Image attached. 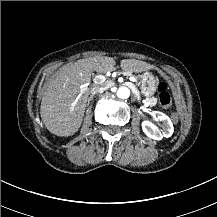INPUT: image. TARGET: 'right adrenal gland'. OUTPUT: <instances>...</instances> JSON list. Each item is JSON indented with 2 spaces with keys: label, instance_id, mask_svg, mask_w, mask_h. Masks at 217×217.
<instances>
[{
  "label": "right adrenal gland",
  "instance_id": "1",
  "mask_svg": "<svg viewBox=\"0 0 217 217\" xmlns=\"http://www.w3.org/2000/svg\"><path fill=\"white\" fill-rule=\"evenodd\" d=\"M93 100H94V97H89L88 100H87V106H89L90 102L93 101Z\"/></svg>",
  "mask_w": 217,
  "mask_h": 217
}]
</instances>
